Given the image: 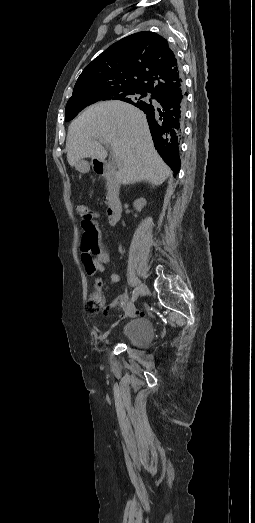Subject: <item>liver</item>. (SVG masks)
Instances as JSON below:
<instances>
[{"label": "liver", "instance_id": "1", "mask_svg": "<svg viewBox=\"0 0 255 523\" xmlns=\"http://www.w3.org/2000/svg\"><path fill=\"white\" fill-rule=\"evenodd\" d=\"M96 140L111 146L115 156L121 158L123 166L117 172L120 184L147 180L160 186L169 178L170 168L154 148L147 118L135 106L110 100L86 108L68 128L70 166H77L83 158L105 160L108 154Z\"/></svg>", "mask_w": 255, "mask_h": 523}]
</instances>
